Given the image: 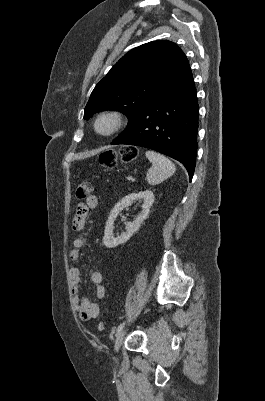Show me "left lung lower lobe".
<instances>
[{
  "instance_id": "obj_1",
  "label": "left lung lower lobe",
  "mask_w": 265,
  "mask_h": 401,
  "mask_svg": "<svg viewBox=\"0 0 265 401\" xmlns=\"http://www.w3.org/2000/svg\"><path fill=\"white\" fill-rule=\"evenodd\" d=\"M197 93L190 65L111 143L153 149L194 174L198 131Z\"/></svg>"
}]
</instances>
